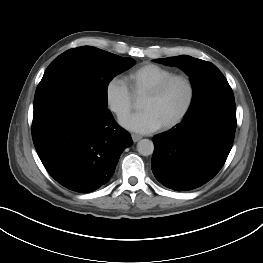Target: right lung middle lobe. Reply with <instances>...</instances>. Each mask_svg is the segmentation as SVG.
<instances>
[{
	"instance_id": "right-lung-middle-lobe-1",
	"label": "right lung middle lobe",
	"mask_w": 263,
	"mask_h": 263,
	"mask_svg": "<svg viewBox=\"0 0 263 263\" xmlns=\"http://www.w3.org/2000/svg\"><path fill=\"white\" fill-rule=\"evenodd\" d=\"M134 64L132 58H123L91 46L70 49L47 67L36 89L34 108L73 99L95 110L108 111L109 82Z\"/></svg>"
}]
</instances>
